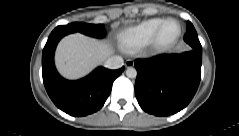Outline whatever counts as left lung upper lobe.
Returning a JSON list of instances; mask_svg holds the SVG:
<instances>
[{
    "label": "left lung upper lobe",
    "instance_id": "1",
    "mask_svg": "<svg viewBox=\"0 0 239 136\" xmlns=\"http://www.w3.org/2000/svg\"><path fill=\"white\" fill-rule=\"evenodd\" d=\"M184 40L190 45L191 49L202 52V46L197 36V32L191 22H187L186 34Z\"/></svg>",
    "mask_w": 239,
    "mask_h": 136
}]
</instances>
